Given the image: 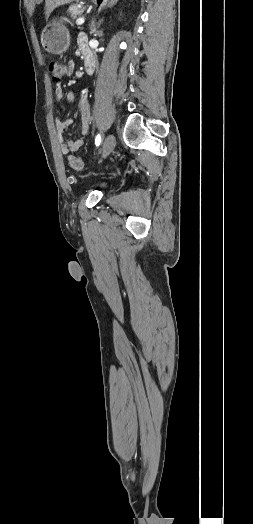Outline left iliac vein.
<instances>
[{"label": "left iliac vein", "instance_id": "left-iliac-vein-1", "mask_svg": "<svg viewBox=\"0 0 253 524\" xmlns=\"http://www.w3.org/2000/svg\"><path fill=\"white\" fill-rule=\"evenodd\" d=\"M115 145H116V139L114 135L109 134L105 138L104 143H103L102 157L103 158L107 157L114 150Z\"/></svg>", "mask_w": 253, "mask_h": 524}]
</instances>
